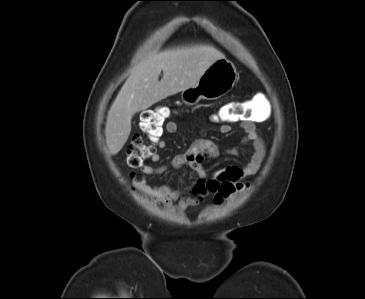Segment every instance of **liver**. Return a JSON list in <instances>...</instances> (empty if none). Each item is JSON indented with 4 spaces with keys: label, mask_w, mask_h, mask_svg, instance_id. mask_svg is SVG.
Instances as JSON below:
<instances>
[{
    "label": "liver",
    "mask_w": 365,
    "mask_h": 299,
    "mask_svg": "<svg viewBox=\"0 0 365 299\" xmlns=\"http://www.w3.org/2000/svg\"><path fill=\"white\" fill-rule=\"evenodd\" d=\"M222 58L224 54L212 45H192L151 54L136 65L107 115L105 137L110 154L116 155L128 140L133 114L195 86L206 69Z\"/></svg>",
    "instance_id": "6515ba94"
}]
</instances>
